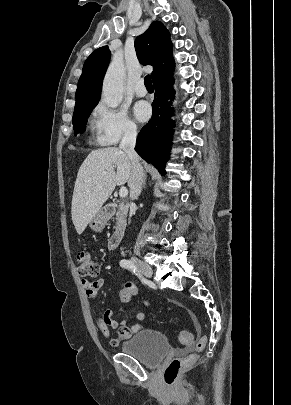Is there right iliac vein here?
Segmentation results:
<instances>
[{
  "label": "right iliac vein",
  "instance_id": "right-iliac-vein-1",
  "mask_svg": "<svg viewBox=\"0 0 291 405\" xmlns=\"http://www.w3.org/2000/svg\"><path fill=\"white\" fill-rule=\"evenodd\" d=\"M135 266L139 269V271L144 274L146 277H151L153 274V271L151 269V267L146 264L145 262L141 261V260H135L134 261Z\"/></svg>",
  "mask_w": 291,
  "mask_h": 405
}]
</instances>
